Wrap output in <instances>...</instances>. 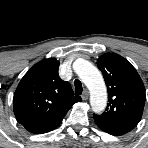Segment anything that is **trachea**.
Segmentation results:
<instances>
[{
  "instance_id": "3493384b",
  "label": "trachea",
  "mask_w": 148,
  "mask_h": 148,
  "mask_svg": "<svg viewBox=\"0 0 148 148\" xmlns=\"http://www.w3.org/2000/svg\"><path fill=\"white\" fill-rule=\"evenodd\" d=\"M74 85H75V92L77 94H81L83 91L81 82L77 79V80H75Z\"/></svg>"
}]
</instances>
